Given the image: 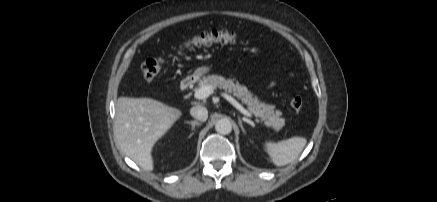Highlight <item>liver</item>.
Returning <instances> with one entry per match:
<instances>
[{"label": "liver", "mask_w": 437, "mask_h": 202, "mask_svg": "<svg viewBox=\"0 0 437 202\" xmlns=\"http://www.w3.org/2000/svg\"><path fill=\"white\" fill-rule=\"evenodd\" d=\"M181 116V110L151 98L119 97L114 121L117 142L137 165L151 171L155 143Z\"/></svg>", "instance_id": "1"}]
</instances>
